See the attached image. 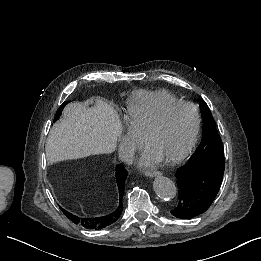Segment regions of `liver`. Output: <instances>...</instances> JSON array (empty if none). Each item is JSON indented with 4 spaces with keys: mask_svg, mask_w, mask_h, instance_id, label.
<instances>
[{
    "mask_svg": "<svg viewBox=\"0 0 261 261\" xmlns=\"http://www.w3.org/2000/svg\"><path fill=\"white\" fill-rule=\"evenodd\" d=\"M119 131L118 115L111 106L98 99L88 105L75 102L66 107L64 118L50 132L47 152L78 158L109 154Z\"/></svg>",
    "mask_w": 261,
    "mask_h": 261,
    "instance_id": "obj_1",
    "label": "liver"
}]
</instances>
